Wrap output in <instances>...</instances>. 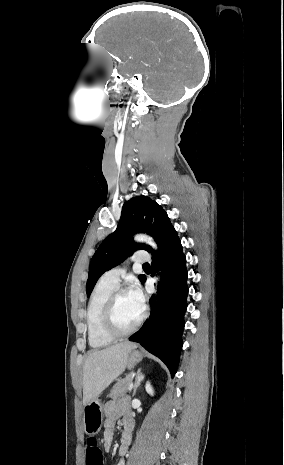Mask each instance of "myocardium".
<instances>
[{
	"instance_id": "obj_1",
	"label": "myocardium",
	"mask_w": 284,
	"mask_h": 465,
	"mask_svg": "<svg viewBox=\"0 0 284 465\" xmlns=\"http://www.w3.org/2000/svg\"><path fill=\"white\" fill-rule=\"evenodd\" d=\"M123 294H127V292L121 289L113 291V293L108 298L105 311H104V315H103V321H102L103 332L108 337L116 341L123 340V339L129 338L132 335H134L139 329V327L141 326L142 322L145 319V315H146L145 312H142L141 317L139 318V320L137 321V323L131 330L125 333H119L115 326L116 307H117L118 298Z\"/></svg>"
}]
</instances>
